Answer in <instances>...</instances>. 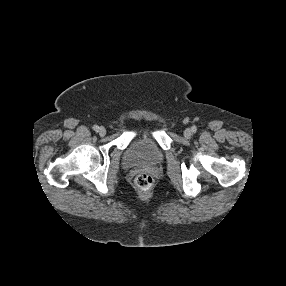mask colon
<instances>
[{"label":"colon","mask_w":286,"mask_h":286,"mask_svg":"<svg viewBox=\"0 0 286 286\" xmlns=\"http://www.w3.org/2000/svg\"><path fill=\"white\" fill-rule=\"evenodd\" d=\"M135 184L142 190L149 189L153 184V178L148 173H140L135 178Z\"/></svg>","instance_id":"obj_1"}]
</instances>
